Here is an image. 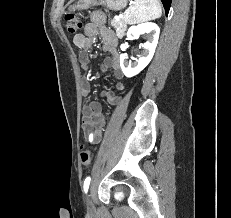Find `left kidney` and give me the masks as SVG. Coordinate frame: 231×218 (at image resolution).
Returning <instances> with one entry per match:
<instances>
[{
	"label": "left kidney",
	"mask_w": 231,
	"mask_h": 218,
	"mask_svg": "<svg viewBox=\"0 0 231 218\" xmlns=\"http://www.w3.org/2000/svg\"><path fill=\"white\" fill-rule=\"evenodd\" d=\"M147 33V42L142 44L143 51L135 62L128 61L127 54L120 55V66L126 77H133L140 73L151 61L159 39L160 29L153 22H145L131 26L127 31L128 38Z\"/></svg>",
	"instance_id": "obj_1"
}]
</instances>
